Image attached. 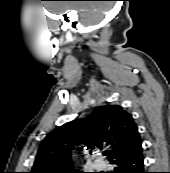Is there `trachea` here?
I'll return each mask as SVG.
<instances>
[{"label": "trachea", "instance_id": "obj_1", "mask_svg": "<svg viewBox=\"0 0 170 173\" xmlns=\"http://www.w3.org/2000/svg\"><path fill=\"white\" fill-rule=\"evenodd\" d=\"M104 155H108V152H105Z\"/></svg>", "mask_w": 170, "mask_h": 173}]
</instances>
